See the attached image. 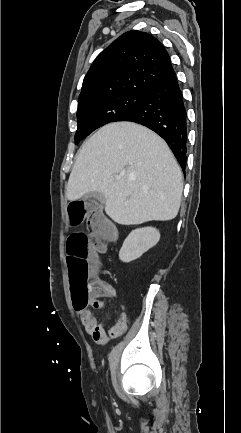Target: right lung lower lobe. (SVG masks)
<instances>
[{
  "label": "right lung lower lobe",
  "mask_w": 241,
  "mask_h": 433,
  "mask_svg": "<svg viewBox=\"0 0 241 433\" xmlns=\"http://www.w3.org/2000/svg\"><path fill=\"white\" fill-rule=\"evenodd\" d=\"M120 121L136 122L156 132L167 142L182 169H185L187 116L175 75L150 86L142 103Z\"/></svg>",
  "instance_id": "obj_1"
}]
</instances>
